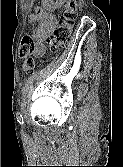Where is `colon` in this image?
Listing matches in <instances>:
<instances>
[{
  "label": "colon",
  "mask_w": 123,
  "mask_h": 167,
  "mask_svg": "<svg viewBox=\"0 0 123 167\" xmlns=\"http://www.w3.org/2000/svg\"><path fill=\"white\" fill-rule=\"evenodd\" d=\"M76 16V0H67L62 10L60 22L54 31L53 37L49 40V48L52 52L59 50L70 40ZM33 49L32 37L29 35L23 36L19 45V56L23 59L22 68L25 74H31L36 65V61L32 57Z\"/></svg>",
  "instance_id": "obj_1"
}]
</instances>
